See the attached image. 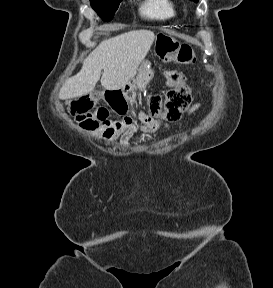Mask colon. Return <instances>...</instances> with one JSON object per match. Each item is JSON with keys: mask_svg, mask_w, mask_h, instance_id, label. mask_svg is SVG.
Instances as JSON below:
<instances>
[{"mask_svg": "<svg viewBox=\"0 0 273 288\" xmlns=\"http://www.w3.org/2000/svg\"><path fill=\"white\" fill-rule=\"evenodd\" d=\"M157 54L166 62L182 65H192L195 62V53L190 46L180 44L165 35L158 36ZM166 77L168 90L165 97L151 94L147 97L146 105L151 116L176 122L190 105V89L182 72L169 70ZM103 100L105 106L97 107V101L93 96H80L69 104V115L75 118L81 128L88 131H94L101 126L118 128L133 123L128 102L120 90H106L103 93ZM112 116L120 119L112 121Z\"/></svg>", "mask_w": 273, "mask_h": 288, "instance_id": "5ec220e1", "label": "colon"}]
</instances>
